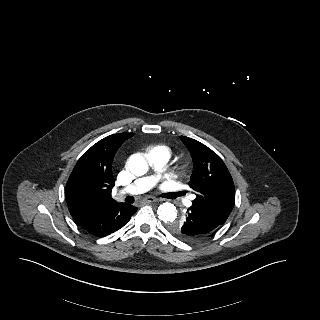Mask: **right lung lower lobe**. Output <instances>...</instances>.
I'll list each match as a JSON object with an SVG mask.
<instances>
[{
  "label": "right lung lower lobe",
  "instance_id": "right-lung-lower-lobe-1",
  "mask_svg": "<svg viewBox=\"0 0 320 320\" xmlns=\"http://www.w3.org/2000/svg\"><path fill=\"white\" fill-rule=\"evenodd\" d=\"M136 211L137 208L133 205L116 202L75 220L87 233L104 237L126 225Z\"/></svg>",
  "mask_w": 320,
  "mask_h": 320
}]
</instances>
